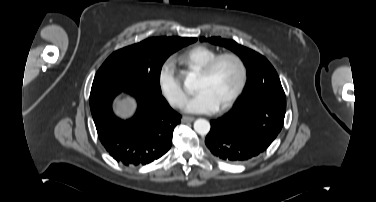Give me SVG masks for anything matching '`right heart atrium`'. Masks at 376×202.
Here are the masks:
<instances>
[{"label":"right heart atrium","mask_w":376,"mask_h":202,"mask_svg":"<svg viewBox=\"0 0 376 202\" xmlns=\"http://www.w3.org/2000/svg\"><path fill=\"white\" fill-rule=\"evenodd\" d=\"M158 87L161 94L173 107H180L185 99L180 77L171 60H165L158 71Z\"/></svg>","instance_id":"d8ad5b80"}]
</instances>
